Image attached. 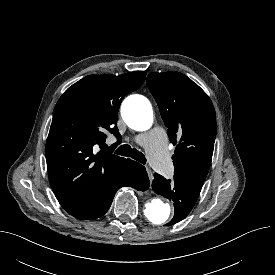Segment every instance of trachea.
<instances>
[{
	"instance_id": "obj_1",
	"label": "trachea",
	"mask_w": 275,
	"mask_h": 275,
	"mask_svg": "<svg viewBox=\"0 0 275 275\" xmlns=\"http://www.w3.org/2000/svg\"><path fill=\"white\" fill-rule=\"evenodd\" d=\"M116 154L118 155H122V156H126V157H131L135 160H137L138 162L145 164L146 163V158L144 156V154H142L141 152H139L136 149H132L129 145H122L120 146L116 151Z\"/></svg>"
}]
</instances>
